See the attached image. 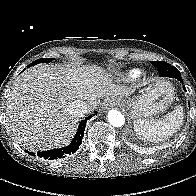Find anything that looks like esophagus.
<instances>
[{"label": "esophagus", "instance_id": "esophagus-1", "mask_svg": "<svg viewBox=\"0 0 196 196\" xmlns=\"http://www.w3.org/2000/svg\"><path fill=\"white\" fill-rule=\"evenodd\" d=\"M118 99L115 97H111V98H107L103 101V103L101 104L102 108L104 109H108L112 106H115L118 104Z\"/></svg>", "mask_w": 196, "mask_h": 196}]
</instances>
